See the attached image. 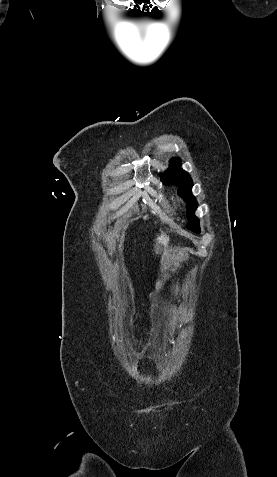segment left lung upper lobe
Instances as JSON below:
<instances>
[{
  "instance_id": "1",
  "label": "left lung upper lobe",
  "mask_w": 277,
  "mask_h": 477,
  "mask_svg": "<svg viewBox=\"0 0 277 477\" xmlns=\"http://www.w3.org/2000/svg\"><path fill=\"white\" fill-rule=\"evenodd\" d=\"M161 181H163L164 184H174L179 187L178 194L187 203V226L192 231L199 233V219L194 215L198 204L191 192L193 182L190 175L181 169L180 158L170 160V166L168 170L161 175Z\"/></svg>"
}]
</instances>
